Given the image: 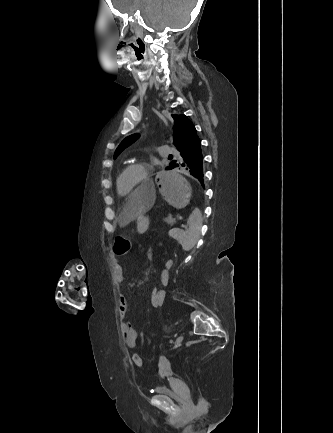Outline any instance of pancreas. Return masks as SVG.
I'll return each mask as SVG.
<instances>
[{
    "label": "pancreas",
    "instance_id": "1",
    "mask_svg": "<svg viewBox=\"0 0 333 433\" xmlns=\"http://www.w3.org/2000/svg\"><path fill=\"white\" fill-rule=\"evenodd\" d=\"M165 222H167L168 224H170L171 222L174 224L175 220L172 218L171 215H168L166 218L163 219ZM172 224V225H173Z\"/></svg>",
    "mask_w": 333,
    "mask_h": 433
}]
</instances>
